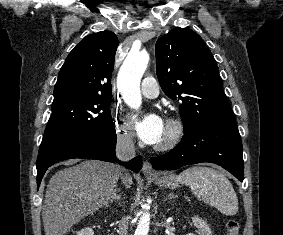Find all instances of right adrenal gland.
I'll list each match as a JSON object with an SVG mask.
<instances>
[{"label":"right adrenal gland","instance_id":"obj_1","mask_svg":"<svg viewBox=\"0 0 283 235\" xmlns=\"http://www.w3.org/2000/svg\"><path fill=\"white\" fill-rule=\"evenodd\" d=\"M121 199L120 194H118V190L115 189L112 198L109 200L110 203H113L115 201H119Z\"/></svg>","mask_w":283,"mask_h":235}]
</instances>
